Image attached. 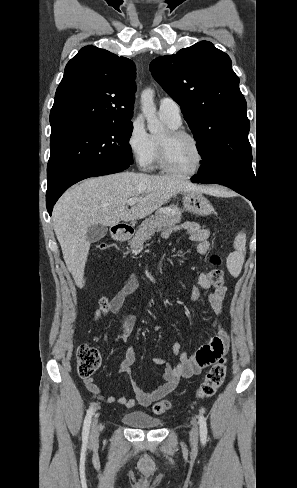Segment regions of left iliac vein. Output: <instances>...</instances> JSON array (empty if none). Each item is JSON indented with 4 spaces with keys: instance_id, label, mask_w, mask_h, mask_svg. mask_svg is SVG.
I'll use <instances>...</instances> for the list:
<instances>
[{
    "instance_id": "obj_1",
    "label": "left iliac vein",
    "mask_w": 297,
    "mask_h": 488,
    "mask_svg": "<svg viewBox=\"0 0 297 488\" xmlns=\"http://www.w3.org/2000/svg\"><path fill=\"white\" fill-rule=\"evenodd\" d=\"M191 423H192L193 427L190 431V442H191L193 449L195 450L197 447V441H198V427H197L196 419L194 417L192 418Z\"/></svg>"
}]
</instances>
